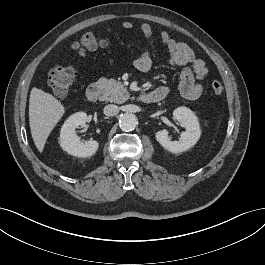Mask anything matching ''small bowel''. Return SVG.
Segmentation results:
<instances>
[{"mask_svg": "<svg viewBox=\"0 0 265 265\" xmlns=\"http://www.w3.org/2000/svg\"><path fill=\"white\" fill-rule=\"evenodd\" d=\"M122 27L124 30H131L133 25L131 22L125 21ZM140 30L146 39H150L153 35V29L148 23H143ZM160 40L168 51L167 64L183 68L180 77L181 94L187 99L199 98L203 92V81L208 75L206 63L196 58L187 44L176 41L167 31L160 32ZM134 65L140 72H149L153 66L150 53L148 51L140 53L135 58ZM155 91H162L166 96L168 89L161 86Z\"/></svg>", "mask_w": 265, "mask_h": 265, "instance_id": "obj_1", "label": "small bowel"}]
</instances>
